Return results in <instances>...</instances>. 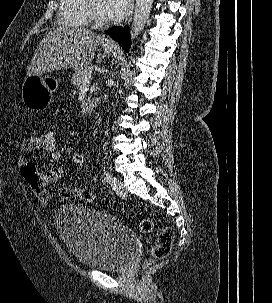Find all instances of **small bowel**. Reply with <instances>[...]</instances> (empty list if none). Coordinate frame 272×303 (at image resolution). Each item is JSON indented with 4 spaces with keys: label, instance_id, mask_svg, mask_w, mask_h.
Here are the masks:
<instances>
[{
    "label": "small bowel",
    "instance_id": "c3829d8e",
    "mask_svg": "<svg viewBox=\"0 0 272 303\" xmlns=\"http://www.w3.org/2000/svg\"><path fill=\"white\" fill-rule=\"evenodd\" d=\"M39 149L43 150L46 154H48L49 158L53 162H58L62 157L61 151L58 148H53V149L44 148L40 144L38 138L36 136H32V137L25 139L20 144V147H19L20 153L18 154V156L16 158L17 163L20 166L25 165L26 161H25L24 154L35 151V150H39ZM42 174L46 177L47 184H50V183H55V182L59 181L63 177L64 171L61 168H52Z\"/></svg>",
    "mask_w": 272,
    "mask_h": 303
}]
</instances>
